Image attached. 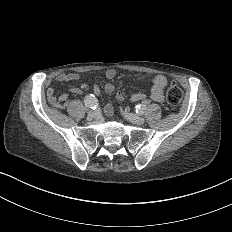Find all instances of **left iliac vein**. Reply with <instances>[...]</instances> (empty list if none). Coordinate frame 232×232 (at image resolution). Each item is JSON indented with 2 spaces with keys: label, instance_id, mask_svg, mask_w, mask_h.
Segmentation results:
<instances>
[{
  "label": "left iliac vein",
  "instance_id": "4c4485c4",
  "mask_svg": "<svg viewBox=\"0 0 232 232\" xmlns=\"http://www.w3.org/2000/svg\"><path fill=\"white\" fill-rule=\"evenodd\" d=\"M119 113L125 116L129 120V122L134 125L140 124L142 126L145 122L143 117H140L139 115L133 113L132 111L128 112L126 109H123V110H119Z\"/></svg>",
  "mask_w": 232,
  "mask_h": 232
}]
</instances>
